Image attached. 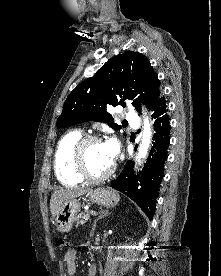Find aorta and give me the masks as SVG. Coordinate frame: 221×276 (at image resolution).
<instances>
[{"label":"aorta","mask_w":221,"mask_h":276,"mask_svg":"<svg viewBox=\"0 0 221 276\" xmlns=\"http://www.w3.org/2000/svg\"><path fill=\"white\" fill-rule=\"evenodd\" d=\"M143 128L144 129H143L141 144L139 146L138 154H137V157H136V160L138 162H140L141 159L146 157V155L148 153L149 146H150L152 133H151V125H150V122H149L147 117L144 119Z\"/></svg>","instance_id":"762f6f07"}]
</instances>
